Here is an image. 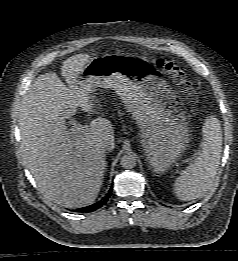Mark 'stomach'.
<instances>
[{"label":"stomach","mask_w":238,"mask_h":261,"mask_svg":"<svg viewBox=\"0 0 238 261\" xmlns=\"http://www.w3.org/2000/svg\"><path fill=\"white\" fill-rule=\"evenodd\" d=\"M89 94L98 87L114 90L141 131L142 147L151 169L163 173L182 155L188 127L174 90L141 61L120 55L90 60L77 78Z\"/></svg>","instance_id":"0dacf381"}]
</instances>
